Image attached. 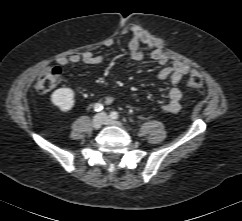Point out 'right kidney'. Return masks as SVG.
I'll return each mask as SVG.
<instances>
[{
  "label": "right kidney",
  "instance_id": "ca27d5eb",
  "mask_svg": "<svg viewBox=\"0 0 242 221\" xmlns=\"http://www.w3.org/2000/svg\"><path fill=\"white\" fill-rule=\"evenodd\" d=\"M52 103L61 111L68 112L74 106V92L70 88H59L51 95Z\"/></svg>",
  "mask_w": 242,
  "mask_h": 221
}]
</instances>
